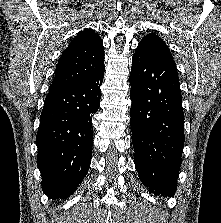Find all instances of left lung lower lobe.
I'll return each instance as SVG.
<instances>
[{
  "label": "left lung lower lobe",
  "instance_id": "obj_1",
  "mask_svg": "<svg viewBox=\"0 0 221 223\" xmlns=\"http://www.w3.org/2000/svg\"><path fill=\"white\" fill-rule=\"evenodd\" d=\"M130 83V125L139 178L155 195H172L177 189L185 140L176 64L137 48Z\"/></svg>",
  "mask_w": 221,
  "mask_h": 223
}]
</instances>
